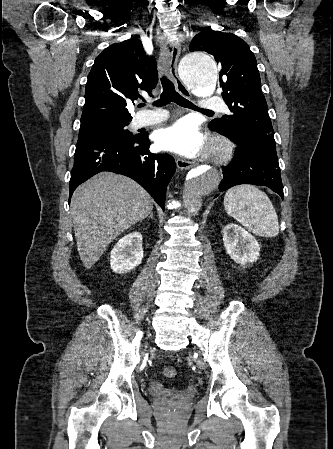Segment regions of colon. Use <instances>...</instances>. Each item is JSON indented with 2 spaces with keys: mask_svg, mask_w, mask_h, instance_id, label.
Masks as SVG:
<instances>
[{
  "mask_svg": "<svg viewBox=\"0 0 333 449\" xmlns=\"http://www.w3.org/2000/svg\"><path fill=\"white\" fill-rule=\"evenodd\" d=\"M164 375L167 378H174L177 375V370L174 366L168 365L164 368Z\"/></svg>",
  "mask_w": 333,
  "mask_h": 449,
  "instance_id": "5ec220e1",
  "label": "colon"
}]
</instances>
